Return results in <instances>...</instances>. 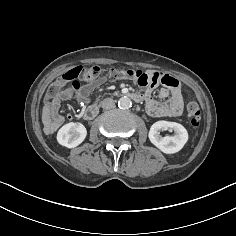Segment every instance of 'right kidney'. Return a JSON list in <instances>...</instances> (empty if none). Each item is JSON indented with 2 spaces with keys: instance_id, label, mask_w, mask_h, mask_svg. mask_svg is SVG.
Wrapping results in <instances>:
<instances>
[{
  "instance_id": "right-kidney-1",
  "label": "right kidney",
  "mask_w": 236,
  "mask_h": 236,
  "mask_svg": "<svg viewBox=\"0 0 236 236\" xmlns=\"http://www.w3.org/2000/svg\"><path fill=\"white\" fill-rule=\"evenodd\" d=\"M87 130L82 123L70 122L62 126L57 133V141L67 148H74L86 138Z\"/></svg>"
}]
</instances>
